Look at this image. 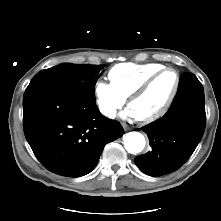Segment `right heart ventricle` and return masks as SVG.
Listing matches in <instances>:
<instances>
[{
    "instance_id": "obj_1",
    "label": "right heart ventricle",
    "mask_w": 221,
    "mask_h": 221,
    "mask_svg": "<svg viewBox=\"0 0 221 221\" xmlns=\"http://www.w3.org/2000/svg\"><path fill=\"white\" fill-rule=\"evenodd\" d=\"M164 68L157 63H121L108 72V78L116 91L126 100L151 74Z\"/></svg>"
}]
</instances>
